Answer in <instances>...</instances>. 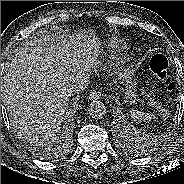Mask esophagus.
Returning <instances> with one entry per match:
<instances>
[{
    "label": "esophagus",
    "mask_w": 184,
    "mask_h": 184,
    "mask_svg": "<svg viewBox=\"0 0 184 184\" xmlns=\"http://www.w3.org/2000/svg\"><path fill=\"white\" fill-rule=\"evenodd\" d=\"M100 98H101V93L98 92V91L93 92V93L90 95V97H89V99H91V100H98V99H100Z\"/></svg>",
    "instance_id": "1"
}]
</instances>
